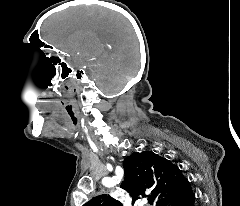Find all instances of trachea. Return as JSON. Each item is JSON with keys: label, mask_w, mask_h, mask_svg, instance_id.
Wrapping results in <instances>:
<instances>
[{"label": "trachea", "mask_w": 240, "mask_h": 206, "mask_svg": "<svg viewBox=\"0 0 240 206\" xmlns=\"http://www.w3.org/2000/svg\"><path fill=\"white\" fill-rule=\"evenodd\" d=\"M153 201H154L153 198H149V203L150 204H153Z\"/></svg>", "instance_id": "obj_1"}]
</instances>
